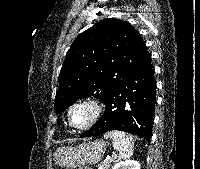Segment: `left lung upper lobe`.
I'll return each instance as SVG.
<instances>
[{"instance_id":"left-lung-upper-lobe-1","label":"left lung upper lobe","mask_w":200,"mask_h":169,"mask_svg":"<svg viewBox=\"0 0 200 169\" xmlns=\"http://www.w3.org/2000/svg\"><path fill=\"white\" fill-rule=\"evenodd\" d=\"M147 53L141 35L130 23L104 19L77 36L59 75L55 112L77 99L94 96L104 101Z\"/></svg>"}]
</instances>
